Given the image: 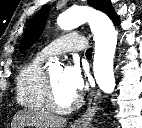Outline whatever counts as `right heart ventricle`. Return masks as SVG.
I'll list each match as a JSON object with an SVG mask.
<instances>
[{
  "mask_svg": "<svg viewBox=\"0 0 142 128\" xmlns=\"http://www.w3.org/2000/svg\"><path fill=\"white\" fill-rule=\"evenodd\" d=\"M46 56L39 53L26 63L16 78V96L20 105L29 109L48 108L45 98L46 71L43 62Z\"/></svg>",
  "mask_w": 142,
  "mask_h": 128,
  "instance_id": "obj_1",
  "label": "right heart ventricle"
}]
</instances>
